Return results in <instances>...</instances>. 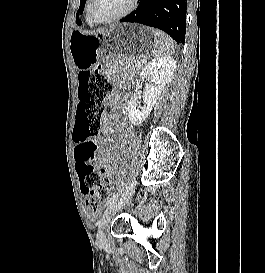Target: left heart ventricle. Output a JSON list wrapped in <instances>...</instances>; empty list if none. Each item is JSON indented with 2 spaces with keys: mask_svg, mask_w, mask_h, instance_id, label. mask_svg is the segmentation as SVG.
<instances>
[{
  "mask_svg": "<svg viewBox=\"0 0 265 273\" xmlns=\"http://www.w3.org/2000/svg\"><path fill=\"white\" fill-rule=\"evenodd\" d=\"M132 0H93L91 13L96 19H107L126 10Z\"/></svg>",
  "mask_w": 265,
  "mask_h": 273,
  "instance_id": "left-heart-ventricle-1",
  "label": "left heart ventricle"
}]
</instances>
